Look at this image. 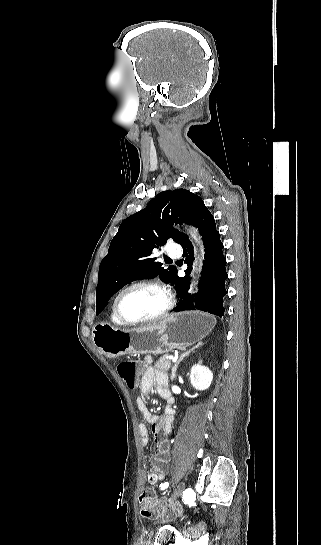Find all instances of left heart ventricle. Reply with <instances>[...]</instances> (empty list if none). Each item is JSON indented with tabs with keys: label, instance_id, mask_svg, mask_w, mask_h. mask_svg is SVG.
<instances>
[{
	"label": "left heart ventricle",
	"instance_id": "left-heart-ventricle-1",
	"mask_svg": "<svg viewBox=\"0 0 321 545\" xmlns=\"http://www.w3.org/2000/svg\"><path fill=\"white\" fill-rule=\"evenodd\" d=\"M166 306L165 296L153 289L136 288L126 292L120 301V310L129 321H139L159 314Z\"/></svg>",
	"mask_w": 321,
	"mask_h": 545
}]
</instances>
